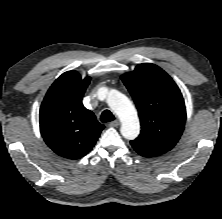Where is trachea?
<instances>
[{
  "label": "trachea",
  "instance_id": "3493384b",
  "mask_svg": "<svg viewBox=\"0 0 222 219\" xmlns=\"http://www.w3.org/2000/svg\"><path fill=\"white\" fill-rule=\"evenodd\" d=\"M101 122L106 123L115 120L114 115L109 110H104L100 118Z\"/></svg>",
  "mask_w": 222,
  "mask_h": 219
}]
</instances>
